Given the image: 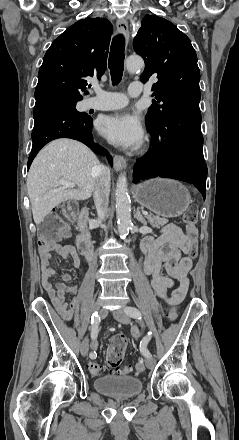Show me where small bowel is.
<instances>
[{
	"instance_id": "small-bowel-1",
	"label": "small bowel",
	"mask_w": 239,
	"mask_h": 440,
	"mask_svg": "<svg viewBox=\"0 0 239 440\" xmlns=\"http://www.w3.org/2000/svg\"><path fill=\"white\" fill-rule=\"evenodd\" d=\"M192 244L183 230L174 224L165 225L158 237H146L141 243L144 254L143 268L149 277L150 285L156 295L170 305H180L186 296L189 286L188 273L192 268L193 257L189 253ZM53 251L65 260H72L77 269L80 267V260L76 250L70 245L52 243L39 248L42 285L60 315L65 320H70L77 307V301L67 303L65 296L76 294L78 286L74 284L76 278L70 274H64L61 282H52L55 276V270L51 266ZM163 268L167 275L162 274ZM169 289H172L170 296L167 294ZM134 334L137 336L138 332L135 331ZM92 346L96 347V342H92Z\"/></svg>"
}]
</instances>
